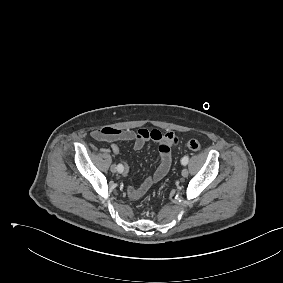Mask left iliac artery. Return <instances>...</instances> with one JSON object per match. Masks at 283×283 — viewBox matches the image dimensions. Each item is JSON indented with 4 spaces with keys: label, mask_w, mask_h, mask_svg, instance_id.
<instances>
[{
    "label": "left iliac artery",
    "mask_w": 283,
    "mask_h": 283,
    "mask_svg": "<svg viewBox=\"0 0 283 283\" xmlns=\"http://www.w3.org/2000/svg\"><path fill=\"white\" fill-rule=\"evenodd\" d=\"M187 163H188V157L185 156V157L182 158L181 164L185 166V165H187Z\"/></svg>",
    "instance_id": "44dca946"
}]
</instances>
